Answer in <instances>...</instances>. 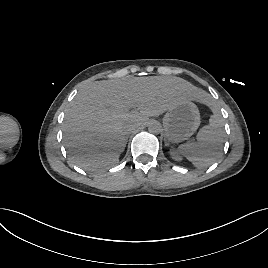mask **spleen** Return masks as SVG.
Instances as JSON below:
<instances>
[{"mask_svg":"<svg viewBox=\"0 0 268 268\" xmlns=\"http://www.w3.org/2000/svg\"><path fill=\"white\" fill-rule=\"evenodd\" d=\"M224 130L223 119L215 111L209 124L202 127L197 134V141L179 146L178 151L197 168H205L213 164L221 153Z\"/></svg>","mask_w":268,"mask_h":268,"instance_id":"spleen-1","label":"spleen"}]
</instances>
